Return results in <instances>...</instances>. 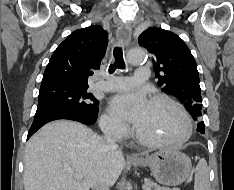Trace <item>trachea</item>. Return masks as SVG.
<instances>
[{
    "instance_id": "obj_1",
    "label": "trachea",
    "mask_w": 234,
    "mask_h": 190,
    "mask_svg": "<svg viewBox=\"0 0 234 190\" xmlns=\"http://www.w3.org/2000/svg\"><path fill=\"white\" fill-rule=\"evenodd\" d=\"M114 63L109 66V73H113L116 69H125V62L123 59V51L121 47H115L113 51Z\"/></svg>"
}]
</instances>
